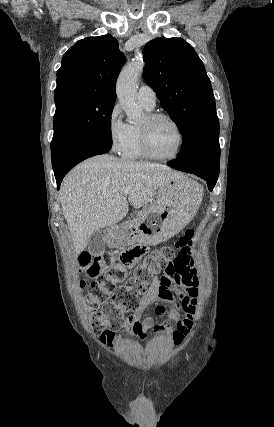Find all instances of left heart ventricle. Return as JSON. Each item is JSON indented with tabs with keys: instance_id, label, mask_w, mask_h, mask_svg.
Returning a JSON list of instances; mask_svg holds the SVG:
<instances>
[{
	"instance_id": "left-heart-ventricle-1",
	"label": "left heart ventricle",
	"mask_w": 274,
	"mask_h": 427,
	"mask_svg": "<svg viewBox=\"0 0 274 427\" xmlns=\"http://www.w3.org/2000/svg\"><path fill=\"white\" fill-rule=\"evenodd\" d=\"M143 120L139 123L142 124ZM148 144L150 150L161 157H168L175 153L178 137L174 127L165 120H158L148 130Z\"/></svg>"
}]
</instances>
